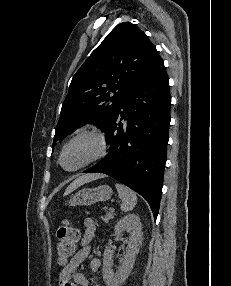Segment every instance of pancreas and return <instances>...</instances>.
<instances>
[{"mask_svg": "<svg viewBox=\"0 0 231 286\" xmlns=\"http://www.w3.org/2000/svg\"><path fill=\"white\" fill-rule=\"evenodd\" d=\"M114 215H115L114 210L110 209L104 216H102L101 219L107 223L109 222L110 219L114 218Z\"/></svg>", "mask_w": 231, "mask_h": 286, "instance_id": "cf45deb5", "label": "pancreas"}]
</instances>
